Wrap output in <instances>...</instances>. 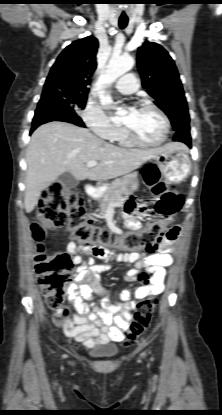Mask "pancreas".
<instances>
[{"mask_svg": "<svg viewBox=\"0 0 222 415\" xmlns=\"http://www.w3.org/2000/svg\"><path fill=\"white\" fill-rule=\"evenodd\" d=\"M136 176L135 173L129 174L123 178L116 179L109 185L100 200L99 207L102 213H105L110 206H116L132 193L129 189V185Z\"/></svg>", "mask_w": 222, "mask_h": 415, "instance_id": "pancreas-1", "label": "pancreas"}]
</instances>
